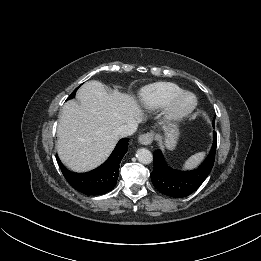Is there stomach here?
<instances>
[{
  "label": "stomach",
  "instance_id": "stomach-1",
  "mask_svg": "<svg viewBox=\"0 0 261 261\" xmlns=\"http://www.w3.org/2000/svg\"><path fill=\"white\" fill-rule=\"evenodd\" d=\"M163 131L165 135L163 141L164 147L168 150L175 149L179 137V130L177 126L174 124H168L163 127Z\"/></svg>",
  "mask_w": 261,
  "mask_h": 261
}]
</instances>
